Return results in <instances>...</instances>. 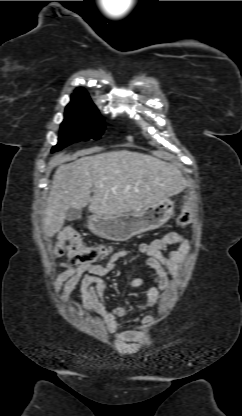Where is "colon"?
Returning <instances> with one entry per match:
<instances>
[{"label":"colon","mask_w":242,"mask_h":416,"mask_svg":"<svg viewBox=\"0 0 242 416\" xmlns=\"http://www.w3.org/2000/svg\"><path fill=\"white\" fill-rule=\"evenodd\" d=\"M192 205L187 202L177 215L178 226H186L192 222ZM53 253L62 256L65 253L70 263L74 265H89L104 258L109 253V247L103 244L86 245L78 233L72 230H63L54 245Z\"/></svg>","instance_id":"5ec220e1"}]
</instances>
